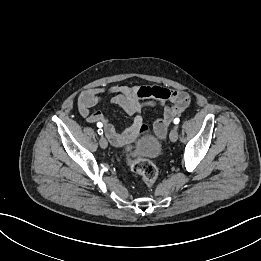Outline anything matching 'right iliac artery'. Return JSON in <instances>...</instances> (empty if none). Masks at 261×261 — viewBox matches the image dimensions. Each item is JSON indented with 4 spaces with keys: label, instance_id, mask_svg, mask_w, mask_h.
<instances>
[{
    "label": "right iliac artery",
    "instance_id": "1",
    "mask_svg": "<svg viewBox=\"0 0 261 261\" xmlns=\"http://www.w3.org/2000/svg\"><path fill=\"white\" fill-rule=\"evenodd\" d=\"M97 127H99V129H98V134L99 135H103V130L101 129V127H102V123H97Z\"/></svg>",
    "mask_w": 261,
    "mask_h": 261
}]
</instances>
